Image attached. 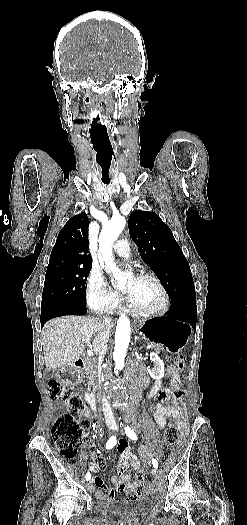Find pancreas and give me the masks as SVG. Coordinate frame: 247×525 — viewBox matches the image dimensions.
<instances>
[{"mask_svg": "<svg viewBox=\"0 0 247 525\" xmlns=\"http://www.w3.org/2000/svg\"><path fill=\"white\" fill-rule=\"evenodd\" d=\"M154 351L156 353H160L161 351H163V347H160V346H156L154 348ZM93 363H96V361H92V363H89V365H87L85 371L86 373H88L89 377V383L88 385H93L94 381H97V373H96V365H93Z\"/></svg>", "mask_w": 247, "mask_h": 525, "instance_id": "obj_1", "label": "pancreas"}]
</instances>
